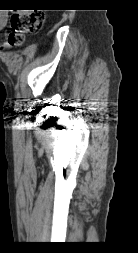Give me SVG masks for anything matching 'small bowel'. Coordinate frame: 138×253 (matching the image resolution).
<instances>
[{
  "instance_id": "c3829d8e",
  "label": "small bowel",
  "mask_w": 138,
  "mask_h": 253,
  "mask_svg": "<svg viewBox=\"0 0 138 253\" xmlns=\"http://www.w3.org/2000/svg\"><path fill=\"white\" fill-rule=\"evenodd\" d=\"M7 24V15L5 13H0V32H2ZM8 47L6 42L0 41V51Z\"/></svg>"
}]
</instances>
